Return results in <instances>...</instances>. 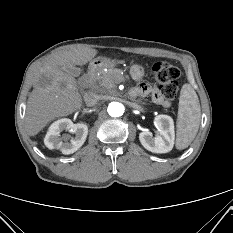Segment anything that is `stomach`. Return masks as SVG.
I'll return each instance as SVG.
<instances>
[{
    "label": "stomach",
    "mask_w": 233,
    "mask_h": 233,
    "mask_svg": "<svg viewBox=\"0 0 233 233\" xmlns=\"http://www.w3.org/2000/svg\"><path fill=\"white\" fill-rule=\"evenodd\" d=\"M114 64L115 62L110 59H106L103 57H97L90 62V68L91 69H102L105 66L112 67Z\"/></svg>",
    "instance_id": "stomach-1"
}]
</instances>
